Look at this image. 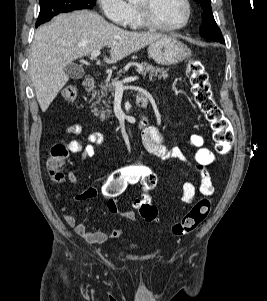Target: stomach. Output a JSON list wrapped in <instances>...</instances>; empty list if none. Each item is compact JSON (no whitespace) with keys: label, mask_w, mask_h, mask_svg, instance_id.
I'll list each match as a JSON object with an SVG mask.
<instances>
[{"label":"stomach","mask_w":267,"mask_h":301,"mask_svg":"<svg viewBox=\"0 0 267 301\" xmlns=\"http://www.w3.org/2000/svg\"><path fill=\"white\" fill-rule=\"evenodd\" d=\"M148 55L160 65H174L188 58L191 51L176 38L164 36L149 45Z\"/></svg>","instance_id":"stomach-1"}]
</instances>
